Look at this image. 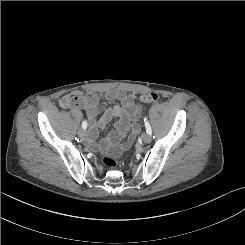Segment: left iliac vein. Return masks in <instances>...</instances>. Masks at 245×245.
Here are the masks:
<instances>
[{
    "label": "left iliac vein",
    "instance_id": "4c4485c4",
    "mask_svg": "<svg viewBox=\"0 0 245 245\" xmlns=\"http://www.w3.org/2000/svg\"><path fill=\"white\" fill-rule=\"evenodd\" d=\"M142 139H143V142L150 143L152 140V136L150 134H144Z\"/></svg>",
    "mask_w": 245,
    "mask_h": 245
}]
</instances>
